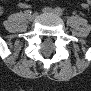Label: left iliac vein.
Listing matches in <instances>:
<instances>
[{"instance_id": "4c4485c4", "label": "left iliac vein", "mask_w": 91, "mask_h": 91, "mask_svg": "<svg viewBox=\"0 0 91 91\" xmlns=\"http://www.w3.org/2000/svg\"><path fill=\"white\" fill-rule=\"evenodd\" d=\"M43 12H44V13H51V14L59 15L54 9H52V8H50V7H45V8H43Z\"/></svg>"}]
</instances>
